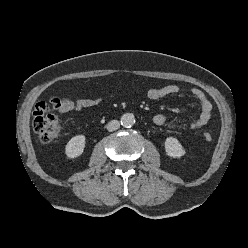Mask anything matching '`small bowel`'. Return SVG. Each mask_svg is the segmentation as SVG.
Segmentation results:
<instances>
[{
  "label": "small bowel",
  "instance_id": "small-bowel-1",
  "mask_svg": "<svg viewBox=\"0 0 248 248\" xmlns=\"http://www.w3.org/2000/svg\"><path fill=\"white\" fill-rule=\"evenodd\" d=\"M181 91L180 86L175 84L165 85L159 88H150L146 95L150 100L156 101L165 97L175 95ZM190 93L198 99L201 112L197 119L190 122L186 127L189 129H199L205 126L211 119L212 103L210 99L198 88H191ZM101 97L72 99L70 97H53L49 102H38L35 107L34 116H41L49 111H58L61 114H67L72 111H79L81 109L90 108L98 105L101 102ZM154 123L158 126L176 127L174 123L168 121L163 114L155 115Z\"/></svg>",
  "mask_w": 248,
  "mask_h": 248
}]
</instances>
